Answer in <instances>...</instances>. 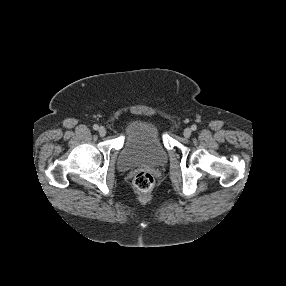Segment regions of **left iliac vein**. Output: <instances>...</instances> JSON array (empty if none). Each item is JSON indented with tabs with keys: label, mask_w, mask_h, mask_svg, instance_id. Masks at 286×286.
I'll use <instances>...</instances> for the list:
<instances>
[{
	"label": "left iliac vein",
	"mask_w": 286,
	"mask_h": 286,
	"mask_svg": "<svg viewBox=\"0 0 286 286\" xmlns=\"http://www.w3.org/2000/svg\"><path fill=\"white\" fill-rule=\"evenodd\" d=\"M192 134V130L190 128H186L183 132V135L186 137V138H189Z\"/></svg>",
	"instance_id": "1"
}]
</instances>
